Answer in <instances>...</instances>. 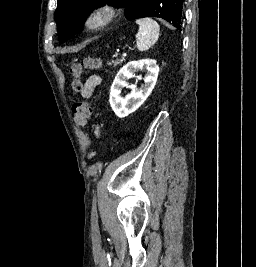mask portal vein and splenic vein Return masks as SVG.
I'll list each match as a JSON object with an SVG mask.
<instances>
[{
	"mask_svg": "<svg viewBox=\"0 0 256 267\" xmlns=\"http://www.w3.org/2000/svg\"><path fill=\"white\" fill-rule=\"evenodd\" d=\"M129 52H130V49H127V51L124 52V55L125 56H128L129 55Z\"/></svg>",
	"mask_w": 256,
	"mask_h": 267,
	"instance_id": "18ae733b",
	"label": "portal vein and splenic vein"
}]
</instances>
